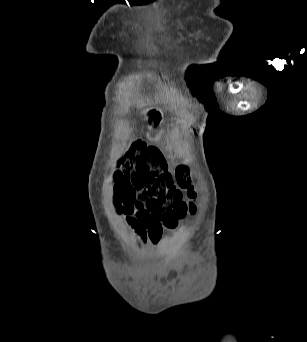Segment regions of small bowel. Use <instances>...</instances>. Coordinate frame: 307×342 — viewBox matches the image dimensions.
Wrapping results in <instances>:
<instances>
[{
  "label": "small bowel",
  "instance_id": "small-bowel-1",
  "mask_svg": "<svg viewBox=\"0 0 307 342\" xmlns=\"http://www.w3.org/2000/svg\"><path fill=\"white\" fill-rule=\"evenodd\" d=\"M131 215L123 219L131 235L139 244L157 243L162 236V227L147 211L144 205L127 210Z\"/></svg>",
  "mask_w": 307,
  "mask_h": 342
}]
</instances>
